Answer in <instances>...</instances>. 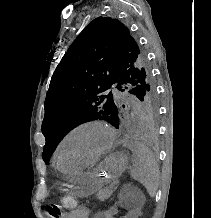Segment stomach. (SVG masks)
I'll return each mask as SVG.
<instances>
[{
	"label": "stomach",
	"instance_id": "0dacf381",
	"mask_svg": "<svg viewBox=\"0 0 211 218\" xmlns=\"http://www.w3.org/2000/svg\"><path fill=\"white\" fill-rule=\"evenodd\" d=\"M129 157L124 152L109 155L92 172L83 173L71 178L73 194L87 197L101 189L105 184L115 180L127 169Z\"/></svg>",
	"mask_w": 211,
	"mask_h": 218
}]
</instances>
